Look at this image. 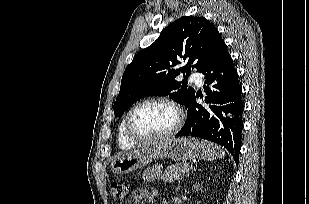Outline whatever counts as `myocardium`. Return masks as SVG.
<instances>
[{"mask_svg":"<svg viewBox=\"0 0 309 204\" xmlns=\"http://www.w3.org/2000/svg\"><path fill=\"white\" fill-rule=\"evenodd\" d=\"M152 103H159V104H164L169 106L170 108L173 109L176 115L175 122L173 126L167 130L166 132L155 135V136H146L137 133L133 127H132V120L134 114L143 106L152 104ZM184 119V114L182 108L174 101L165 98V97H153V98H148L145 100H142L141 102L137 103L127 114L126 119H125V134L130 139L131 141L135 143H150V142H155V141H160L162 139L168 138L180 129L182 126Z\"/></svg>","mask_w":309,"mask_h":204,"instance_id":"1","label":"myocardium"}]
</instances>
